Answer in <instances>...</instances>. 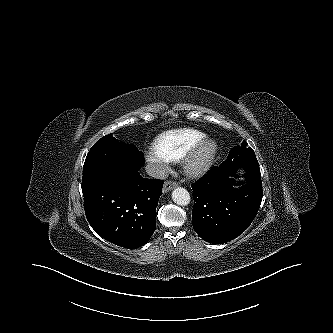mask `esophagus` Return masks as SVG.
Wrapping results in <instances>:
<instances>
[{
    "label": "esophagus",
    "mask_w": 333,
    "mask_h": 333,
    "mask_svg": "<svg viewBox=\"0 0 333 333\" xmlns=\"http://www.w3.org/2000/svg\"><path fill=\"white\" fill-rule=\"evenodd\" d=\"M178 184L176 182H173V181H166L164 183V186H163V192H168L172 189H174L175 187H177Z\"/></svg>",
    "instance_id": "obj_1"
}]
</instances>
